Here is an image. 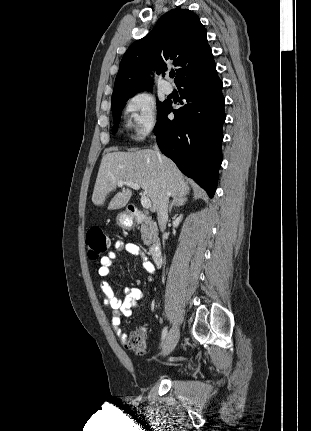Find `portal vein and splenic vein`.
<instances>
[{
  "mask_svg": "<svg viewBox=\"0 0 311 431\" xmlns=\"http://www.w3.org/2000/svg\"><path fill=\"white\" fill-rule=\"evenodd\" d=\"M118 188H121V186H129V188H133V190H140L139 184H134V182H125V180H118L117 182ZM141 206L145 208V210H148V208H152L151 200L147 198V196H141Z\"/></svg>",
  "mask_w": 311,
  "mask_h": 431,
  "instance_id": "portal-vein-and-splenic-vein-1",
  "label": "portal vein and splenic vein"
}]
</instances>
